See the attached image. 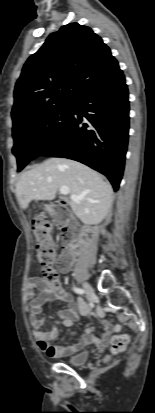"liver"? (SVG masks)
<instances>
[{
  "label": "liver",
  "mask_w": 155,
  "mask_h": 413,
  "mask_svg": "<svg viewBox=\"0 0 155 413\" xmlns=\"http://www.w3.org/2000/svg\"><path fill=\"white\" fill-rule=\"evenodd\" d=\"M61 186L81 196L68 201L73 213L85 224L96 225L110 212L113 190L102 175L67 158H50L22 174L16 185L20 205L26 209L33 200H53Z\"/></svg>",
  "instance_id": "obj_1"
}]
</instances>
